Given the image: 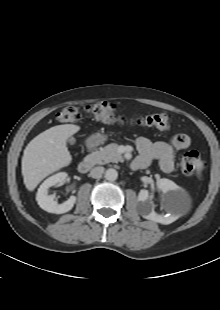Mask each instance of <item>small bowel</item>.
Returning a JSON list of instances; mask_svg holds the SVG:
<instances>
[{
    "label": "small bowel",
    "instance_id": "c3829d8e",
    "mask_svg": "<svg viewBox=\"0 0 220 310\" xmlns=\"http://www.w3.org/2000/svg\"><path fill=\"white\" fill-rule=\"evenodd\" d=\"M190 144L187 134H177L168 142H152L146 137H139L136 141L139 156L132 163V168L142 169L158 160L162 171L170 173L174 169L175 152L188 148Z\"/></svg>",
    "mask_w": 220,
    "mask_h": 310
}]
</instances>
